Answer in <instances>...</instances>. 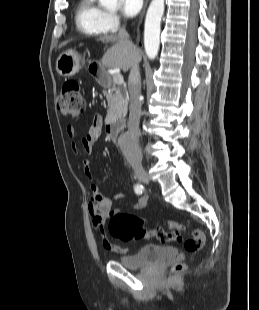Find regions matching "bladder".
I'll return each instance as SVG.
<instances>
[{"mask_svg": "<svg viewBox=\"0 0 259 310\" xmlns=\"http://www.w3.org/2000/svg\"><path fill=\"white\" fill-rule=\"evenodd\" d=\"M176 255L175 248L162 245H145L137 252L119 257L118 262L128 269L154 266Z\"/></svg>", "mask_w": 259, "mask_h": 310, "instance_id": "1", "label": "bladder"}]
</instances>
